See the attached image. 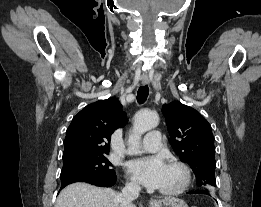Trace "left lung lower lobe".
Instances as JSON below:
<instances>
[{
	"instance_id": "left-lung-lower-lobe-1",
	"label": "left lung lower lobe",
	"mask_w": 261,
	"mask_h": 207,
	"mask_svg": "<svg viewBox=\"0 0 261 207\" xmlns=\"http://www.w3.org/2000/svg\"><path fill=\"white\" fill-rule=\"evenodd\" d=\"M189 193L208 194L206 191H190Z\"/></svg>"
}]
</instances>
